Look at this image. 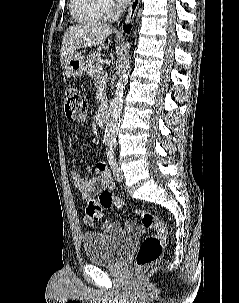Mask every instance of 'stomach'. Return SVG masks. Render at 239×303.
I'll return each instance as SVG.
<instances>
[{
  "label": "stomach",
  "instance_id": "0dacf381",
  "mask_svg": "<svg viewBox=\"0 0 239 303\" xmlns=\"http://www.w3.org/2000/svg\"><path fill=\"white\" fill-rule=\"evenodd\" d=\"M62 66L69 77H82L85 73L84 57L76 51L67 56Z\"/></svg>",
  "mask_w": 239,
  "mask_h": 303
}]
</instances>
